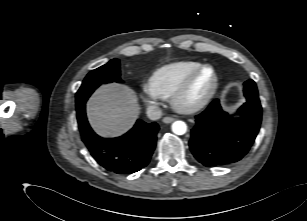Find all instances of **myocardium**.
I'll return each mask as SVG.
<instances>
[{
  "mask_svg": "<svg viewBox=\"0 0 307 221\" xmlns=\"http://www.w3.org/2000/svg\"><path fill=\"white\" fill-rule=\"evenodd\" d=\"M206 69H210L213 73V83L211 88L199 100L194 102H188L187 97L191 88L193 87L194 83L201 75V73ZM218 86H219V76L216 69L212 65L204 64L201 67H199L196 71H194L170 97L171 106L176 112L183 114H192L198 112L203 108H205L211 102V100L213 99V97L217 92Z\"/></svg>",
  "mask_w": 307,
  "mask_h": 221,
  "instance_id": "f54148a6",
  "label": "myocardium"
}]
</instances>
